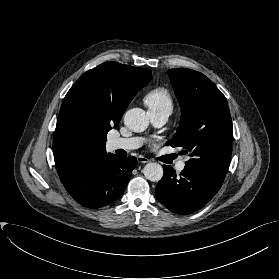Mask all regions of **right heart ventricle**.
Wrapping results in <instances>:
<instances>
[{"instance_id":"right-heart-ventricle-1","label":"right heart ventricle","mask_w":279,"mask_h":279,"mask_svg":"<svg viewBox=\"0 0 279 279\" xmlns=\"http://www.w3.org/2000/svg\"><path fill=\"white\" fill-rule=\"evenodd\" d=\"M144 102L149 111H169L173 107L172 97L169 91L164 87H155L150 90L144 97Z\"/></svg>"}]
</instances>
